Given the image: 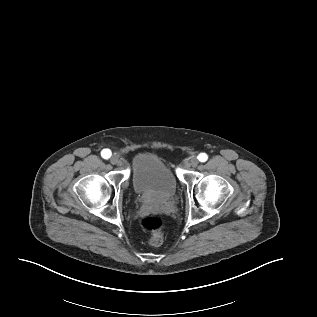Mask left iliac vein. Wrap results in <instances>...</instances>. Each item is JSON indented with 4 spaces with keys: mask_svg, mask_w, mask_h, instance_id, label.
I'll use <instances>...</instances> for the list:
<instances>
[{
    "mask_svg": "<svg viewBox=\"0 0 317 317\" xmlns=\"http://www.w3.org/2000/svg\"><path fill=\"white\" fill-rule=\"evenodd\" d=\"M199 161L197 157L193 156L189 159L188 165L191 167H196L198 165Z\"/></svg>",
    "mask_w": 317,
    "mask_h": 317,
    "instance_id": "1",
    "label": "left iliac vein"
}]
</instances>
